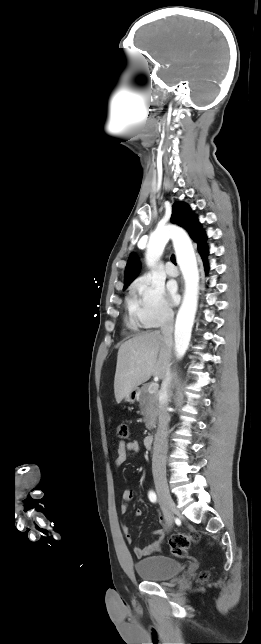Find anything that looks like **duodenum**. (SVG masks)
Instances as JSON below:
<instances>
[{
  "label": "duodenum",
  "instance_id": "obj_1",
  "mask_svg": "<svg viewBox=\"0 0 261 644\" xmlns=\"http://www.w3.org/2000/svg\"><path fill=\"white\" fill-rule=\"evenodd\" d=\"M153 440H154V437H153L152 435H148V436H146V437L144 438V446H145L147 449H150V448L152 447Z\"/></svg>",
  "mask_w": 261,
  "mask_h": 644
}]
</instances>
